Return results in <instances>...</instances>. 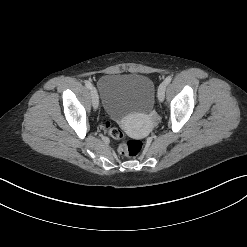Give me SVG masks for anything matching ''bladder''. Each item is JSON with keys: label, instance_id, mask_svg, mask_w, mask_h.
<instances>
[{"label": "bladder", "instance_id": "1", "mask_svg": "<svg viewBox=\"0 0 247 247\" xmlns=\"http://www.w3.org/2000/svg\"><path fill=\"white\" fill-rule=\"evenodd\" d=\"M104 110L109 118L121 121L133 112H148L154 102L153 81L140 74L105 75L97 85Z\"/></svg>", "mask_w": 247, "mask_h": 247}]
</instances>
